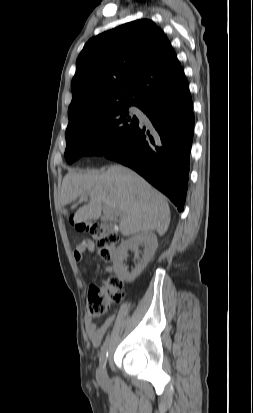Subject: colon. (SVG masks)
Segmentation results:
<instances>
[{
    "label": "colon",
    "mask_w": 253,
    "mask_h": 413,
    "mask_svg": "<svg viewBox=\"0 0 253 413\" xmlns=\"http://www.w3.org/2000/svg\"><path fill=\"white\" fill-rule=\"evenodd\" d=\"M76 228L80 231L88 232L100 256L109 261L112 252L118 242V235L107 231L100 224L77 223ZM124 290L122 281L114 275H110L99 284H93L88 290L87 315L98 318L104 315L111 304L118 303L123 299Z\"/></svg>",
    "instance_id": "obj_1"
}]
</instances>
